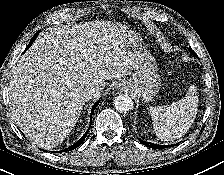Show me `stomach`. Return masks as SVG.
Returning <instances> with one entry per match:
<instances>
[{
	"mask_svg": "<svg viewBox=\"0 0 224 175\" xmlns=\"http://www.w3.org/2000/svg\"><path fill=\"white\" fill-rule=\"evenodd\" d=\"M128 45L133 61L134 74L131 78L118 83L117 87L128 90L142 98L144 102L151 101L159 92L161 86L156 60L137 33H131Z\"/></svg>",
	"mask_w": 224,
	"mask_h": 175,
	"instance_id": "0dacf381",
	"label": "stomach"
}]
</instances>
